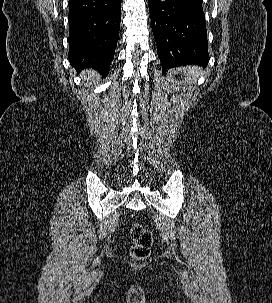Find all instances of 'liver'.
Instances as JSON below:
<instances>
[{
    "label": "liver",
    "mask_w": 272,
    "mask_h": 303,
    "mask_svg": "<svg viewBox=\"0 0 272 303\" xmlns=\"http://www.w3.org/2000/svg\"><path fill=\"white\" fill-rule=\"evenodd\" d=\"M86 73L90 74V73H92V71H91V70L83 71V72H82V75H85Z\"/></svg>",
    "instance_id": "1"
}]
</instances>
